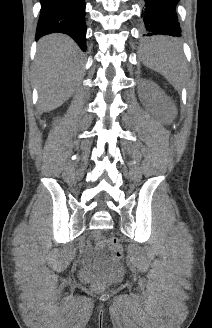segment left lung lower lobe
<instances>
[{"instance_id":"obj_1","label":"left lung lower lobe","mask_w":212,"mask_h":328,"mask_svg":"<svg viewBox=\"0 0 212 328\" xmlns=\"http://www.w3.org/2000/svg\"><path fill=\"white\" fill-rule=\"evenodd\" d=\"M145 9L141 17L144 18L147 34L181 36V29L176 14V5L179 0H144ZM149 40L146 41V44Z\"/></svg>"}]
</instances>
